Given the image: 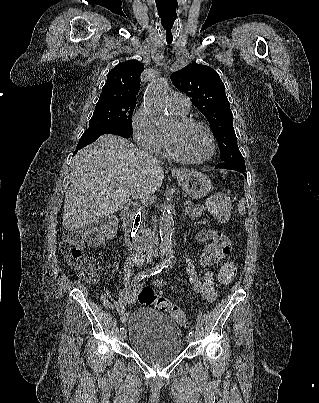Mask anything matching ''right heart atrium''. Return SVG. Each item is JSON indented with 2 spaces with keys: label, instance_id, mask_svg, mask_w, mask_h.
Returning <instances> with one entry per match:
<instances>
[{
  "label": "right heart atrium",
  "instance_id": "right-heart-atrium-1",
  "mask_svg": "<svg viewBox=\"0 0 319 403\" xmlns=\"http://www.w3.org/2000/svg\"><path fill=\"white\" fill-rule=\"evenodd\" d=\"M131 129L135 142L143 150L153 155L163 151V135L149 118L143 106L134 112L131 118Z\"/></svg>",
  "mask_w": 319,
  "mask_h": 403
}]
</instances>
